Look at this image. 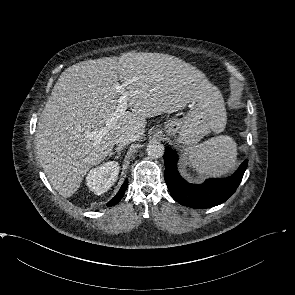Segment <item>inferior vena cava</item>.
Returning <instances> with one entry per match:
<instances>
[{"label":"inferior vena cava","instance_id":"obj_1","mask_svg":"<svg viewBox=\"0 0 295 295\" xmlns=\"http://www.w3.org/2000/svg\"><path fill=\"white\" fill-rule=\"evenodd\" d=\"M139 136L133 132H127L115 139V144L118 146H125L131 142L138 140Z\"/></svg>","mask_w":295,"mask_h":295}]
</instances>
